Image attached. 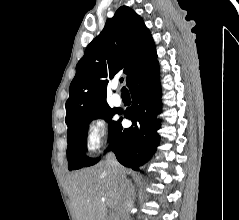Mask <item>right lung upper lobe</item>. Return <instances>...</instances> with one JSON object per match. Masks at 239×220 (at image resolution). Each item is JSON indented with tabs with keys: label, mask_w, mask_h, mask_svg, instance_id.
Listing matches in <instances>:
<instances>
[{
	"label": "right lung upper lobe",
	"mask_w": 239,
	"mask_h": 220,
	"mask_svg": "<svg viewBox=\"0 0 239 220\" xmlns=\"http://www.w3.org/2000/svg\"><path fill=\"white\" fill-rule=\"evenodd\" d=\"M156 62L155 44L142 18L131 8L121 6L87 46L76 66L65 105L67 126L108 105V80L117 73L123 71L127 75L128 85L133 77Z\"/></svg>",
	"instance_id": "1"
}]
</instances>
